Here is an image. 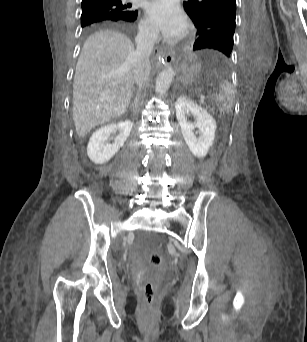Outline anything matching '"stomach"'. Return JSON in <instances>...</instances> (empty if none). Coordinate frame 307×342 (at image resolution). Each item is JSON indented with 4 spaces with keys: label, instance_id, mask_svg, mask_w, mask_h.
<instances>
[{
    "label": "stomach",
    "instance_id": "obj_1",
    "mask_svg": "<svg viewBox=\"0 0 307 342\" xmlns=\"http://www.w3.org/2000/svg\"><path fill=\"white\" fill-rule=\"evenodd\" d=\"M193 58L188 56L181 60L182 76L181 80L183 83H188L193 76Z\"/></svg>",
    "mask_w": 307,
    "mask_h": 342
}]
</instances>
